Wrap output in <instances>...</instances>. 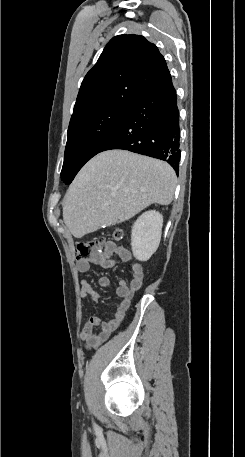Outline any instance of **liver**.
Masks as SVG:
<instances>
[{"instance_id": "6515ba94", "label": "liver", "mask_w": 245, "mask_h": 457, "mask_svg": "<svg viewBox=\"0 0 245 457\" xmlns=\"http://www.w3.org/2000/svg\"><path fill=\"white\" fill-rule=\"evenodd\" d=\"M177 176L168 162L130 150H104L88 160L66 194L63 220L81 239L102 226L132 218L140 210L173 200Z\"/></svg>"}]
</instances>
